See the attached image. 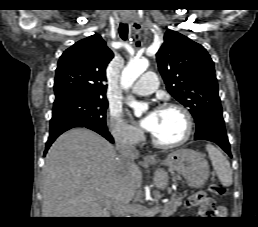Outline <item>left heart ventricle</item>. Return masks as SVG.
<instances>
[{
	"label": "left heart ventricle",
	"instance_id": "1",
	"mask_svg": "<svg viewBox=\"0 0 258 227\" xmlns=\"http://www.w3.org/2000/svg\"><path fill=\"white\" fill-rule=\"evenodd\" d=\"M155 127L152 133L163 142L180 139L186 129L183 115L175 109L156 110Z\"/></svg>",
	"mask_w": 258,
	"mask_h": 227
}]
</instances>
